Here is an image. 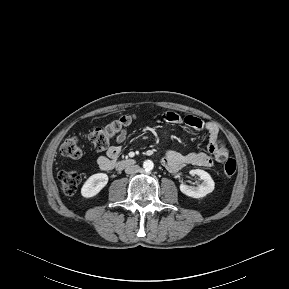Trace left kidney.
I'll return each instance as SVG.
<instances>
[{"instance_id":"5707ae66","label":"left kidney","mask_w":289,"mask_h":289,"mask_svg":"<svg viewBox=\"0 0 289 289\" xmlns=\"http://www.w3.org/2000/svg\"><path fill=\"white\" fill-rule=\"evenodd\" d=\"M190 174L198 175L202 182L197 187L181 184L180 191L183 194L192 198H202L214 190L215 183L209 173L201 169H194L190 171Z\"/></svg>"}]
</instances>
